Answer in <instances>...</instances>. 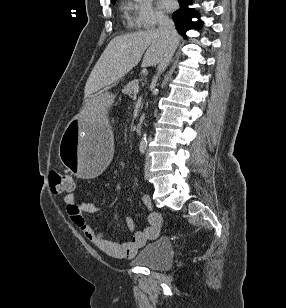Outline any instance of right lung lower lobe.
<instances>
[{
	"label": "right lung lower lobe",
	"instance_id": "1",
	"mask_svg": "<svg viewBox=\"0 0 286 308\" xmlns=\"http://www.w3.org/2000/svg\"><path fill=\"white\" fill-rule=\"evenodd\" d=\"M191 0H179L180 9L175 11L172 15V18L175 22L178 32L186 38V31L194 27H200L201 24L194 23L191 21V18L195 17L196 13L194 9H189L188 5Z\"/></svg>",
	"mask_w": 286,
	"mask_h": 308
}]
</instances>
